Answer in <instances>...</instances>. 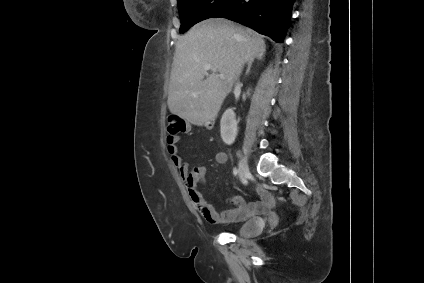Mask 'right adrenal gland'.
<instances>
[{
	"label": "right adrenal gland",
	"instance_id": "1",
	"mask_svg": "<svg viewBox=\"0 0 424 283\" xmlns=\"http://www.w3.org/2000/svg\"><path fill=\"white\" fill-rule=\"evenodd\" d=\"M263 57H264V53H260V54L256 55L254 59L262 60V59H263ZM254 59H251V60L249 61V63H248V67H247V70H246L245 75H248V74H249L250 69H251V66H252V63L254 62Z\"/></svg>",
	"mask_w": 424,
	"mask_h": 283
}]
</instances>
